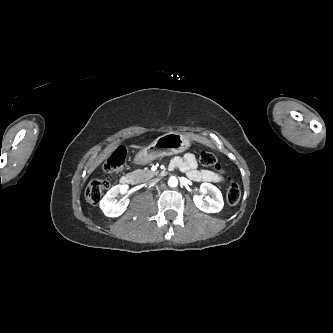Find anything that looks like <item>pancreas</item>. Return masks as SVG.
<instances>
[{"instance_id":"cf45deb5","label":"pancreas","mask_w":333,"mask_h":333,"mask_svg":"<svg viewBox=\"0 0 333 333\" xmlns=\"http://www.w3.org/2000/svg\"><path fill=\"white\" fill-rule=\"evenodd\" d=\"M157 173L154 171H151L149 169H143V170H135L132 172V177L137 181V182H146L149 179H151L153 176H155Z\"/></svg>"}]
</instances>
